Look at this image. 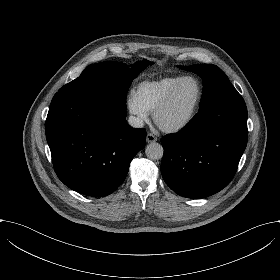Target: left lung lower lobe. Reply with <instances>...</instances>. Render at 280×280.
<instances>
[{"label": "left lung lower lobe", "mask_w": 280, "mask_h": 280, "mask_svg": "<svg viewBox=\"0 0 280 280\" xmlns=\"http://www.w3.org/2000/svg\"><path fill=\"white\" fill-rule=\"evenodd\" d=\"M247 139L244 99L222 98L200 109L180 132L162 138L163 179L180 196H211L232 180Z\"/></svg>", "instance_id": "obj_1"}]
</instances>
